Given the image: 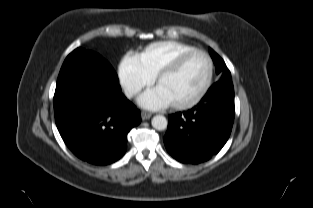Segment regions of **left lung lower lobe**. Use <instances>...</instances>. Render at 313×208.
<instances>
[{"label":"left lung lower lobe","mask_w":313,"mask_h":208,"mask_svg":"<svg viewBox=\"0 0 313 208\" xmlns=\"http://www.w3.org/2000/svg\"><path fill=\"white\" fill-rule=\"evenodd\" d=\"M234 116L233 84L218 81L192 109L169 116L165 147L182 163L204 162L227 142Z\"/></svg>","instance_id":"left-lung-lower-lobe-1"}]
</instances>
